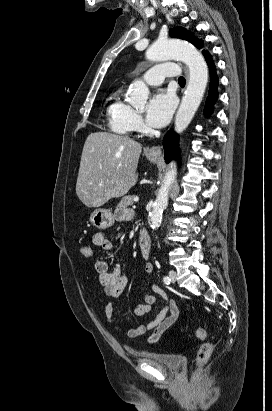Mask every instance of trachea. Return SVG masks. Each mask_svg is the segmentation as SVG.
Listing matches in <instances>:
<instances>
[{
    "label": "trachea",
    "instance_id": "3493384b",
    "mask_svg": "<svg viewBox=\"0 0 272 411\" xmlns=\"http://www.w3.org/2000/svg\"><path fill=\"white\" fill-rule=\"evenodd\" d=\"M178 82H179V84H185V78L184 77H179Z\"/></svg>",
    "mask_w": 272,
    "mask_h": 411
}]
</instances>
